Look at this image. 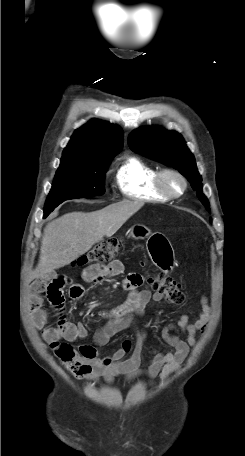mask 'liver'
<instances>
[{
	"mask_svg": "<svg viewBox=\"0 0 245 456\" xmlns=\"http://www.w3.org/2000/svg\"><path fill=\"white\" fill-rule=\"evenodd\" d=\"M144 202L124 200L89 213L71 212L52 220L44 228L39 262L29 281L45 278L89 251L104 236L111 237Z\"/></svg>",
	"mask_w": 245,
	"mask_h": 456,
	"instance_id": "obj_1",
	"label": "liver"
}]
</instances>
